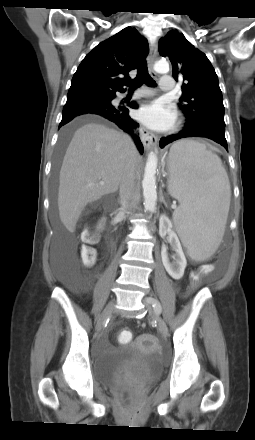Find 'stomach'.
Here are the masks:
<instances>
[{
  "instance_id": "1",
  "label": "stomach",
  "mask_w": 255,
  "mask_h": 440,
  "mask_svg": "<svg viewBox=\"0 0 255 440\" xmlns=\"http://www.w3.org/2000/svg\"><path fill=\"white\" fill-rule=\"evenodd\" d=\"M168 166H169V168H170V159H169V161H168Z\"/></svg>"
}]
</instances>
